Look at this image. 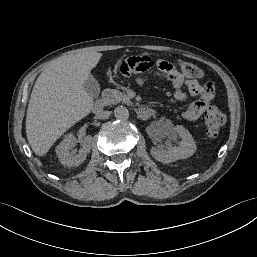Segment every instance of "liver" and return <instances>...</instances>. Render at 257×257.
<instances>
[{
	"label": "liver",
	"mask_w": 257,
	"mask_h": 257,
	"mask_svg": "<svg viewBox=\"0 0 257 257\" xmlns=\"http://www.w3.org/2000/svg\"><path fill=\"white\" fill-rule=\"evenodd\" d=\"M102 53L84 52L53 60L33 87L26 114L27 140L38 156H44L76 122L93 108V97L83 84Z\"/></svg>",
	"instance_id": "liver-1"
}]
</instances>
